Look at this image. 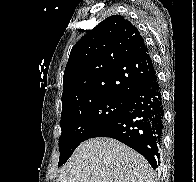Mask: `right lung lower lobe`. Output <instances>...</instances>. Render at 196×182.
<instances>
[{"label":"right lung lower lobe","instance_id":"right-lung-lower-lobe-1","mask_svg":"<svg viewBox=\"0 0 196 182\" xmlns=\"http://www.w3.org/2000/svg\"><path fill=\"white\" fill-rule=\"evenodd\" d=\"M164 132V108L154 71L130 96L125 109L90 138L110 137L143 155L153 169L159 166Z\"/></svg>","mask_w":196,"mask_h":182}]
</instances>
